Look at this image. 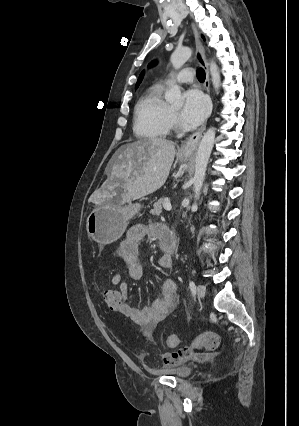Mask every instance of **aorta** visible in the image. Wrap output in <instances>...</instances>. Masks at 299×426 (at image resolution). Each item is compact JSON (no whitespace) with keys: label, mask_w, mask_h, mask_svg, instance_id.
<instances>
[{"label":"aorta","mask_w":299,"mask_h":426,"mask_svg":"<svg viewBox=\"0 0 299 426\" xmlns=\"http://www.w3.org/2000/svg\"><path fill=\"white\" fill-rule=\"evenodd\" d=\"M192 55V49L189 47H183L181 49L175 50L171 57L170 61L173 65V68L175 70L180 69L186 61L191 57ZM209 70L211 74V80L214 89L217 91L220 88V73L218 70V66L214 61L209 62ZM165 99L168 103L182 106L184 103V99L181 94L180 87L178 85H173L169 91L165 94ZM215 141V128L210 127L203 135L197 153H196V159H195V174L193 178V190H194V198L195 201L192 204L191 210L196 211L197 206V200L200 197L201 188L203 186L204 178H205V172L208 165L209 157L211 154V151L213 149Z\"/></svg>","instance_id":"762f6f07"}]
</instances>
